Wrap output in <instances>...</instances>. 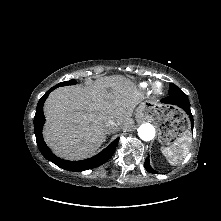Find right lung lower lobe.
<instances>
[{
    "label": "right lung lower lobe",
    "instance_id": "98d812e1",
    "mask_svg": "<svg viewBox=\"0 0 221 221\" xmlns=\"http://www.w3.org/2000/svg\"><path fill=\"white\" fill-rule=\"evenodd\" d=\"M54 89L55 88L53 87L45 93V95L39 100L37 104V108H36V113L34 117V133L36 136V142H37L40 152L47 160L53 162L60 168H63L69 171L79 172V171L92 169V168H95L104 164L113 155L116 149V146L118 144L119 138L115 139L108 147H106L99 154L89 159H85L81 161H67V160L60 159L57 156H55L51 152V150L48 148V146L45 144L43 140V136H42V127H43V124L45 123L43 105L49 93Z\"/></svg>",
    "mask_w": 221,
    "mask_h": 221
}]
</instances>
